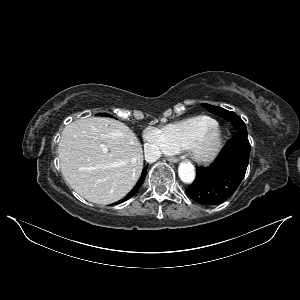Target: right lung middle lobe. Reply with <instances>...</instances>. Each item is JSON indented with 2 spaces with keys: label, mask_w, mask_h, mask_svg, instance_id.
Here are the masks:
<instances>
[{
  "label": "right lung middle lobe",
  "mask_w": 300,
  "mask_h": 300,
  "mask_svg": "<svg viewBox=\"0 0 300 300\" xmlns=\"http://www.w3.org/2000/svg\"><path fill=\"white\" fill-rule=\"evenodd\" d=\"M103 116H111V115H106V114H102Z\"/></svg>",
  "instance_id": "right-lung-middle-lobe-1"
}]
</instances>
